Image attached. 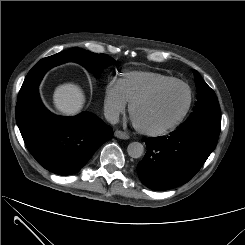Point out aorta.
<instances>
[{
    "instance_id": "1",
    "label": "aorta",
    "mask_w": 245,
    "mask_h": 245,
    "mask_svg": "<svg viewBox=\"0 0 245 245\" xmlns=\"http://www.w3.org/2000/svg\"><path fill=\"white\" fill-rule=\"evenodd\" d=\"M128 155L132 158H139L144 152V146L140 142H132L127 147Z\"/></svg>"
}]
</instances>
